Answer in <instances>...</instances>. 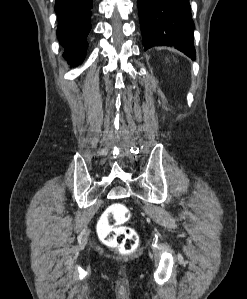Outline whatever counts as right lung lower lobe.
I'll list each match as a JSON object with an SVG mask.
<instances>
[{"instance_id": "right-lung-lower-lobe-1", "label": "right lung lower lobe", "mask_w": 247, "mask_h": 299, "mask_svg": "<svg viewBox=\"0 0 247 299\" xmlns=\"http://www.w3.org/2000/svg\"><path fill=\"white\" fill-rule=\"evenodd\" d=\"M93 0H56L57 37L71 66L82 63L91 29Z\"/></svg>"}]
</instances>
